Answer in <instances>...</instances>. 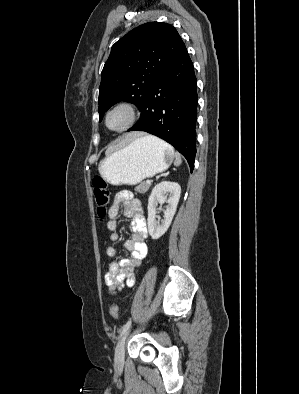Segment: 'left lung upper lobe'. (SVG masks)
Listing matches in <instances>:
<instances>
[{
    "label": "left lung upper lobe",
    "mask_w": 299,
    "mask_h": 394,
    "mask_svg": "<svg viewBox=\"0 0 299 394\" xmlns=\"http://www.w3.org/2000/svg\"><path fill=\"white\" fill-rule=\"evenodd\" d=\"M185 49L177 30L167 23L148 22L131 30L111 48L99 87V116L125 100L139 109L150 87Z\"/></svg>",
    "instance_id": "5c2ea615"
}]
</instances>
